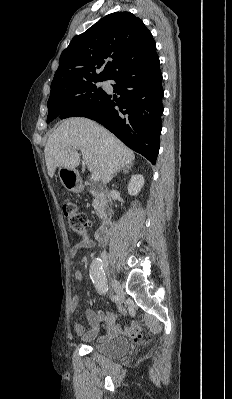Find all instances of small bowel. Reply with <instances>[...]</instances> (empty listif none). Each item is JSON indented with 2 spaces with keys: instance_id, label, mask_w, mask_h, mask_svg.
Segmentation results:
<instances>
[{
  "instance_id": "obj_1",
  "label": "small bowel",
  "mask_w": 232,
  "mask_h": 399,
  "mask_svg": "<svg viewBox=\"0 0 232 399\" xmlns=\"http://www.w3.org/2000/svg\"><path fill=\"white\" fill-rule=\"evenodd\" d=\"M89 248L95 249L96 244L93 242H78L72 249V253L77 255L82 249ZM79 266L85 264V256H78ZM78 279L82 281L84 279L83 273L78 274ZM79 306V299L77 297H71L69 303L70 311H75ZM86 321L91 328L89 331H85L83 324L77 323L75 325V331L78 335H81L84 340H97L103 345H112L117 342L118 336L122 332L134 333L142 329L143 324L141 322H134L130 325H123L116 322V314L108 310H95L88 308L84 312Z\"/></svg>"
}]
</instances>
